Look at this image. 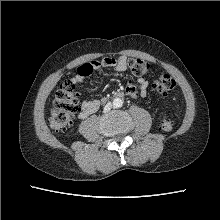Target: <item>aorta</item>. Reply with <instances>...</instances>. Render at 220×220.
I'll list each match as a JSON object with an SVG mask.
<instances>
[{
  "instance_id": "aorta-1",
  "label": "aorta",
  "mask_w": 220,
  "mask_h": 220,
  "mask_svg": "<svg viewBox=\"0 0 220 220\" xmlns=\"http://www.w3.org/2000/svg\"><path fill=\"white\" fill-rule=\"evenodd\" d=\"M122 105H123L122 99H120V98H115V99L113 100V106H114L115 108H120V107H122Z\"/></svg>"
}]
</instances>
